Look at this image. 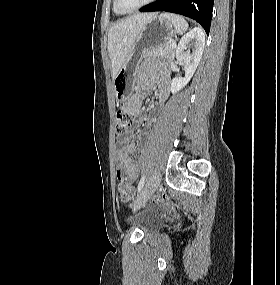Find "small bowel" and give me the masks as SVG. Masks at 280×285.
Segmentation results:
<instances>
[{
    "instance_id": "small-bowel-1",
    "label": "small bowel",
    "mask_w": 280,
    "mask_h": 285,
    "mask_svg": "<svg viewBox=\"0 0 280 285\" xmlns=\"http://www.w3.org/2000/svg\"><path fill=\"white\" fill-rule=\"evenodd\" d=\"M143 82L148 88H153L154 85L157 84V98L160 102L165 101L168 96L170 85V76L167 72L162 73L153 80L143 78ZM142 99L143 95L141 93L135 95L124 105V109L133 114H137L140 111ZM119 144L120 147L117 150V176L122 180H136L139 175V168L131 157L136 145L134 142L129 141L125 136H122L119 139Z\"/></svg>"
}]
</instances>
